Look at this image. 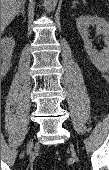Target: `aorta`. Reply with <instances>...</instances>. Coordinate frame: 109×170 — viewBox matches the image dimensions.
Instances as JSON below:
<instances>
[{
	"label": "aorta",
	"mask_w": 109,
	"mask_h": 170,
	"mask_svg": "<svg viewBox=\"0 0 109 170\" xmlns=\"http://www.w3.org/2000/svg\"><path fill=\"white\" fill-rule=\"evenodd\" d=\"M58 0H44L47 11L51 12L55 9Z\"/></svg>",
	"instance_id": "aorta-1"
}]
</instances>
